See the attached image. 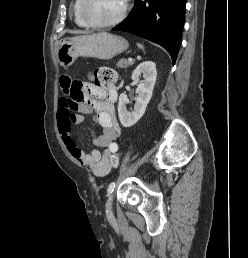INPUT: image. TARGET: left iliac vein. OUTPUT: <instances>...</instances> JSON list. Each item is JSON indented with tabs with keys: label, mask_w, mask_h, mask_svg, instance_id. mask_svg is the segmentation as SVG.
<instances>
[{
	"label": "left iliac vein",
	"mask_w": 248,
	"mask_h": 258,
	"mask_svg": "<svg viewBox=\"0 0 248 258\" xmlns=\"http://www.w3.org/2000/svg\"><path fill=\"white\" fill-rule=\"evenodd\" d=\"M113 196L114 194L111 193L107 199V202H106V209L107 211H110L111 210V206H112V202H113Z\"/></svg>",
	"instance_id": "1"
}]
</instances>
